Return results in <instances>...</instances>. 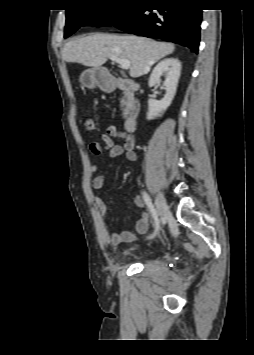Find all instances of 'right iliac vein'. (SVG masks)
I'll return each instance as SVG.
<instances>
[{
    "mask_svg": "<svg viewBox=\"0 0 254 355\" xmlns=\"http://www.w3.org/2000/svg\"><path fill=\"white\" fill-rule=\"evenodd\" d=\"M156 211L159 217L167 216L169 214L168 206L166 200L161 192H157L156 199Z\"/></svg>",
    "mask_w": 254,
    "mask_h": 355,
    "instance_id": "right-iliac-vein-1",
    "label": "right iliac vein"
}]
</instances>
